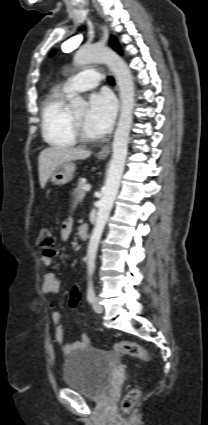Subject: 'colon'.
Instances as JSON below:
<instances>
[{
  "instance_id": "1",
  "label": "colon",
  "mask_w": 208,
  "mask_h": 425,
  "mask_svg": "<svg viewBox=\"0 0 208 425\" xmlns=\"http://www.w3.org/2000/svg\"><path fill=\"white\" fill-rule=\"evenodd\" d=\"M36 246L42 250L44 254L52 255L54 253L55 236L49 229H42L37 237ZM82 297L81 289L78 285H74L70 291V306L76 308ZM114 351L124 353L130 356L141 359L146 363L152 362L151 353L137 343L129 341L117 342L114 345ZM141 392L138 388H133L127 392L122 401V410L125 413L130 412L136 405Z\"/></svg>"
}]
</instances>
